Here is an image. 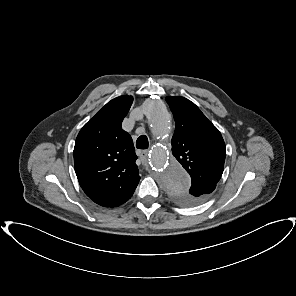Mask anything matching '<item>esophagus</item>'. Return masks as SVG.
Wrapping results in <instances>:
<instances>
[{
	"label": "esophagus",
	"mask_w": 296,
	"mask_h": 296,
	"mask_svg": "<svg viewBox=\"0 0 296 296\" xmlns=\"http://www.w3.org/2000/svg\"><path fill=\"white\" fill-rule=\"evenodd\" d=\"M139 158L141 159L142 163H144L147 159L148 156V151L147 150H140L137 152Z\"/></svg>",
	"instance_id": "obj_1"
}]
</instances>
